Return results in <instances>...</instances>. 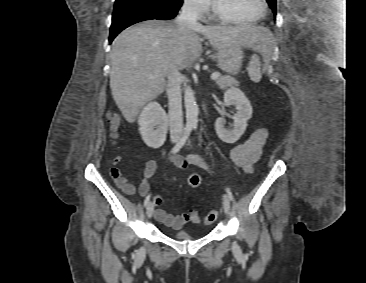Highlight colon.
<instances>
[{
  "mask_svg": "<svg viewBox=\"0 0 366 283\" xmlns=\"http://www.w3.org/2000/svg\"><path fill=\"white\" fill-rule=\"evenodd\" d=\"M108 123L110 129L112 131L113 137H117V130L119 126V119L115 115H110L108 117ZM187 183L192 188H197L201 185L202 179L201 176L197 173L191 174L188 179ZM186 219L191 220L193 223H203L206 225L212 224L218 217V212L212 210L208 212L204 217H201L197 212L191 211L185 215Z\"/></svg>",
  "mask_w": 366,
  "mask_h": 283,
  "instance_id": "1",
  "label": "colon"
}]
</instances>
